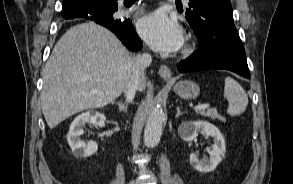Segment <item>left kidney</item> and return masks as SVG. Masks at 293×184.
I'll return each instance as SVG.
<instances>
[{
  "label": "left kidney",
  "mask_w": 293,
  "mask_h": 184,
  "mask_svg": "<svg viewBox=\"0 0 293 184\" xmlns=\"http://www.w3.org/2000/svg\"><path fill=\"white\" fill-rule=\"evenodd\" d=\"M199 132L213 137L214 144L207 148L209 158L199 160L197 155L192 153L190 154V163L197 171L208 173L213 171L222 161L226 151L225 140L218 128L207 121L188 122L179 129L180 136L187 142L195 139Z\"/></svg>",
  "instance_id": "obj_1"
}]
</instances>
